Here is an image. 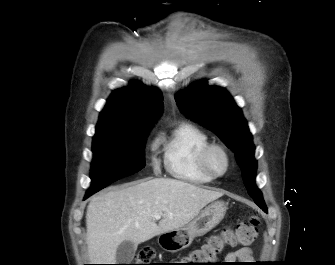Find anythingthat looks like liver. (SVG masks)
<instances>
[{
  "instance_id": "1",
  "label": "liver",
  "mask_w": 335,
  "mask_h": 265,
  "mask_svg": "<svg viewBox=\"0 0 335 265\" xmlns=\"http://www.w3.org/2000/svg\"><path fill=\"white\" fill-rule=\"evenodd\" d=\"M223 196L193 184L156 178L130 183L91 199L86 212L92 264H114L123 241L136 245L190 223L208 203ZM162 214L156 223L154 215Z\"/></svg>"
}]
</instances>
